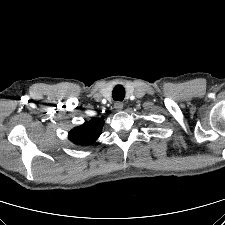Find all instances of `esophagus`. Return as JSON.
<instances>
[{
  "mask_svg": "<svg viewBox=\"0 0 225 225\" xmlns=\"http://www.w3.org/2000/svg\"><path fill=\"white\" fill-rule=\"evenodd\" d=\"M114 107L117 111H120L123 108V103L120 101H117V102H115Z\"/></svg>",
  "mask_w": 225,
  "mask_h": 225,
  "instance_id": "34e87169",
  "label": "esophagus"
}]
</instances>
